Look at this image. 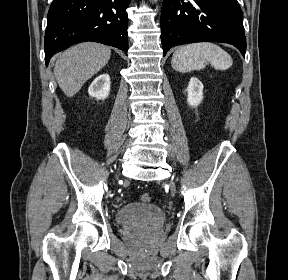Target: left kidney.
<instances>
[{
  "label": "left kidney",
  "instance_id": "1",
  "mask_svg": "<svg viewBox=\"0 0 288 280\" xmlns=\"http://www.w3.org/2000/svg\"><path fill=\"white\" fill-rule=\"evenodd\" d=\"M203 84L196 77H192L187 87V102L191 107H197L203 99Z\"/></svg>",
  "mask_w": 288,
  "mask_h": 280
}]
</instances>
